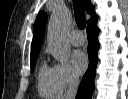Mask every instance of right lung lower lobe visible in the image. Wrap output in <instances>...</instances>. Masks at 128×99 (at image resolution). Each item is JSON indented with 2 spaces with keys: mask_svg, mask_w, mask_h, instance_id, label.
Masks as SVG:
<instances>
[{
  "mask_svg": "<svg viewBox=\"0 0 128 99\" xmlns=\"http://www.w3.org/2000/svg\"><path fill=\"white\" fill-rule=\"evenodd\" d=\"M98 33L99 29L97 28V16L91 18L88 21L87 26V37H88V57H89V66L86 71L77 91L76 99H91V96L94 91V78L96 65L98 62L97 51L99 49L98 42Z\"/></svg>",
  "mask_w": 128,
  "mask_h": 99,
  "instance_id": "right-lung-lower-lobe-1",
  "label": "right lung lower lobe"
}]
</instances>
